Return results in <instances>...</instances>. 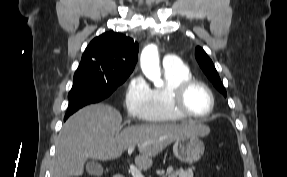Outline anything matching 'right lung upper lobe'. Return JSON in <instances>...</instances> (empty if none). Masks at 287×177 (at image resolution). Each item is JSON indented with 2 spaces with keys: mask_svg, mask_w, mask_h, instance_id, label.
<instances>
[{
  "mask_svg": "<svg viewBox=\"0 0 287 177\" xmlns=\"http://www.w3.org/2000/svg\"><path fill=\"white\" fill-rule=\"evenodd\" d=\"M138 43L120 33L106 32L85 49L80 69L98 73L106 81L128 77L137 62Z\"/></svg>",
  "mask_w": 287,
  "mask_h": 177,
  "instance_id": "cb5924a9",
  "label": "right lung upper lobe"
}]
</instances>
